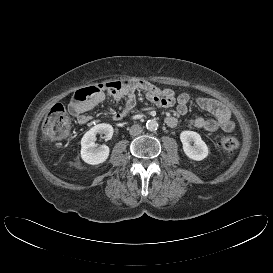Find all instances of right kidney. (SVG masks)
Instances as JSON below:
<instances>
[{
	"label": "right kidney",
	"instance_id": "right-kidney-1",
	"mask_svg": "<svg viewBox=\"0 0 273 273\" xmlns=\"http://www.w3.org/2000/svg\"><path fill=\"white\" fill-rule=\"evenodd\" d=\"M114 129L110 124H97L87 131L81 139V158L90 165H97L105 162L109 157V147L101 145L97 147L94 142L95 136L105 135V140H110L113 136Z\"/></svg>",
	"mask_w": 273,
	"mask_h": 273
}]
</instances>
